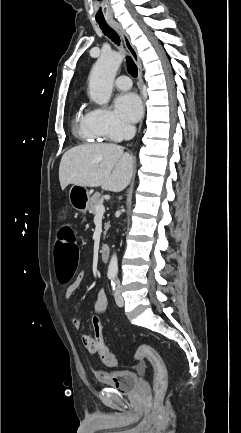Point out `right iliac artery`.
<instances>
[{"label":"right iliac artery","mask_w":241,"mask_h":433,"mask_svg":"<svg viewBox=\"0 0 241 433\" xmlns=\"http://www.w3.org/2000/svg\"><path fill=\"white\" fill-rule=\"evenodd\" d=\"M112 278V276H109V279H111Z\"/></svg>","instance_id":"1"}]
</instances>
